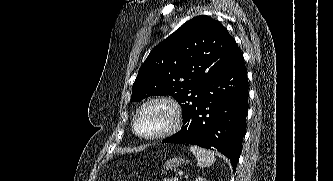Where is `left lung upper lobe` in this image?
<instances>
[{"mask_svg":"<svg viewBox=\"0 0 333 181\" xmlns=\"http://www.w3.org/2000/svg\"><path fill=\"white\" fill-rule=\"evenodd\" d=\"M239 51L218 21L196 16L150 52L133 84L131 101L171 95L185 114L199 103L209 81Z\"/></svg>","mask_w":333,"mask_h":181,"instance_id":"left-lung-upper-lobe-1","label":"left lung upper lobe"}]
</instances>
